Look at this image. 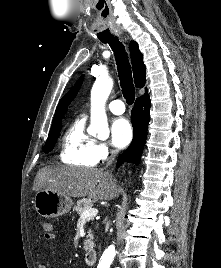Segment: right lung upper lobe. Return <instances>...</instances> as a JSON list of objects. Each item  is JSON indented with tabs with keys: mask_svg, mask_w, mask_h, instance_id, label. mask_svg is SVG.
Listing matches in <instances>:
<instances>
[{
	"mask_svg": "<svg viewBox=\"0 0 221 268\" xmlns=\"http://www.w3.org/2000/svg\"><path fill=\"white\" fill-rule=\"evenodd\" d=\"M130 54H131L135 85L139 88H142L144 87L146 82V70L145 65L143 63V55L139 51L138 44L135 41H131L130 43ZM83 79L84 76H81L80 79L74 85V87L60 100L58 108L56 110V114L54 115L52 127L61 125V118L66 113L67 106L69 105V103L77 95L82 85ZM144 95H147V90Z\"/></svg>",
	"mask_w": 221,
	"mask_h": 268,
	"instance_id": "right-lung-upper-lobe-1",
	"label": "right lung upper lobe"
}]
</instances>
